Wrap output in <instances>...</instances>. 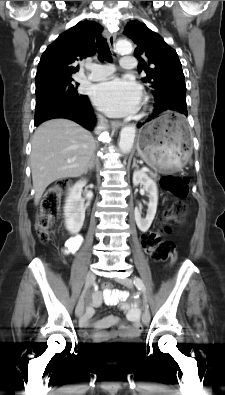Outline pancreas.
I'll return each instance as SVG.
<instances>
[{
  "mask_svg": "<svg viewBox=\"0 0 225 395\" xmlns=\"http://www.w3.org/2000/svg\"><path fill=\"white\" fill-rule=\"evenodd\" d=\"M149 174L153 177V178H157V174L153 173V172H149Z\"/></svg>",
  "mask_w": 225,
  "mask_h": 395,
  "instance_id": "obj_1",
  "label": "pancreas"
}]
</instances>
